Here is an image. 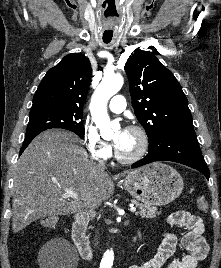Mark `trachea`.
Returning <instances> with one entry per match:
<instances>
[{
    "label": "trachea",
    "instance_id": "1",
    "mask_svg": "<svg viewBox=\"0 0 221 268\" xmlns=\"http://www.w3.org/2000/svg\"><path fill=\"white\" fill-rule=\"evenodd\" d=\"M111 40H104L105 43H109Z\"/></svg>",
    "mask_w": 221,
    "mask_h": 268
}]
</instances>
